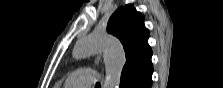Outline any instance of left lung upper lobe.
I'll use <instances>...</instances> for the list:
<instances>
[{
  "label": "left lung upper lobe",
  "mask_w": 223,
  "mask_h": 88,
  "mask_svg": "<svg viewBox=\"0 0 223 88\" xmlns=\"http://www.w3.org/2000/svg\"><path fill=\"white\" fill-rule=\"evenodd\" d=\"M107 31L123 44L126 64L122 76L132 70L142 69L151 62L149 31L144 26V16L132 5L120 7L114 12L108 21Z\"/></svg>",
  "instance_id": "1"
}]
</instances>
